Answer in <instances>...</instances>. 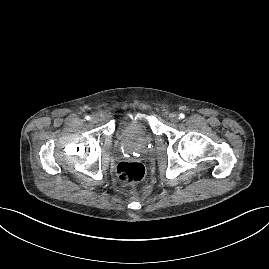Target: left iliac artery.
<instances>
[{
	"mask_svg": "<svg viewBox=\"0 0 269 269\" xmlns=\"http://www.w3.org/2000/svg\"><path fill=\"white\" fill-rule=\"evenodd\" d=\"M185 118V115L183 113L179 114V119Z\"/></svg>",
	"mask_w": 269,
	"mask_h": 269,
	"instance_id": "left-iliac-artery-1",
	"label": "left iliac artery"
}]
</instances>
